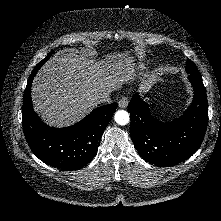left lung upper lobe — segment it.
Returning <instances> with one entry per match:
<instances>
[{"label":"left lung upper lobe","mask_w":221,"mask_h":221,"mask_svg":"<svg viewBox=\"0 0 221 221\" xmlns=\"http://www.w3.org/2000/svg\"><path fill=\"white\" fill-rule=\"evenodd\" d=\"M186 71L189 74L190 81H192V82L195 81V82H198L199 84H203L200 73H199L197 67L195 66V64L191 60L187 61Z\"/></svg>","instance_id":"left-lung-upper-lobe-1"}]
</instances>
